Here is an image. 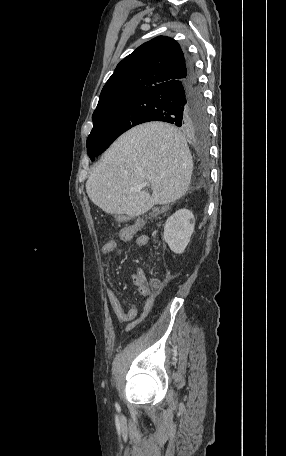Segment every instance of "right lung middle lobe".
I'll list each match as a JSON object with an SVG mask.
<instances>
[{
  "label": "right lung middle lobe",
  "instance_id": "obj_1",
  "mask_svg": "<svg viewBox=\"0 0 286 456\" xmlns=\"http://www.w3.org/2000/svg\"><path fill=\"white\" fill-rule=\"evenodd\" d=\"M141 107L135 95L111 101L92 115L94 127L87 139V153L93 161L104 152L113 141L131 127L141 123ZM192 131L206 137L208 133L207 118Z\"/></svg>",
  "mask_w": 286,
  "mask_h": 456
}]
</instances>
